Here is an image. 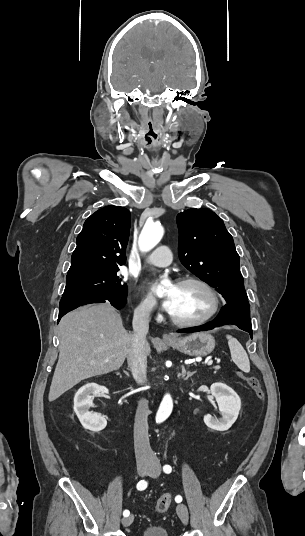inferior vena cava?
I'll use <instances>...</instances> for the list:
<instances>
[{
	"label": "inferior vena cava",
	"instance_id": "obj_1",
	"mask_svg": "<svg viewBox=\"0 0 305 536\" xmlns=\"http://www.w3.org/2000/svg\"><path fill=\"white\" fill-rule=\"evenodd\" d=\"M151 306H139L134 310L132 320L133 334L130 336V348L127 354L128 366L132 376L138 384H143L146 378L147 354H146V336L149 330V316ZM150 414L147 400L138 402L135 422H134V448L137 460L141 462H151L154 454L150 448L148 436L147 418Z\"/></svg>",
	"mask_w": 305,
	"mask_h": 536
}]
</instances>
